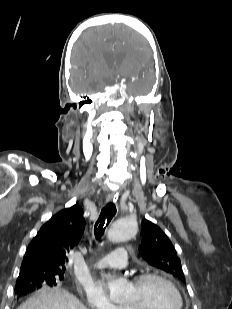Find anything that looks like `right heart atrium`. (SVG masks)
<instances>
[{"mask_svg":"<svg viewBox=\"0 0 232 309\" xmlns=\"http://www.w3.org/2000/svg\"><path fill=\"white\" fill-rule=\"evenodd\" d=\"M86 302L92 309H122L121 306L114 304L97 286L86 288Z\"/></svg>","mask_w":232,"mask_h":309,"instance_id":"1","label":"right heart atrium"}]
</instances>
